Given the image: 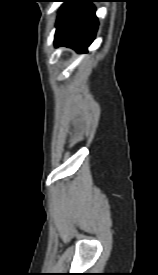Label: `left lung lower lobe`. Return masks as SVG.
<instances>
[{"instance_id":"0a47b994","label":"left lung lower lobe","mask_w":158,"mask_h":275,"mask_svg":"<svg viewBox=\"0 0 158 275\" xmlns=\"http://www.w3.org/2000/svg\"><path fill=\"white\" fill-rule=\"evenodd\" d=\"M96 0H63L56 22L55 47L66 46L79 53L88 52L97 29L98 18L91 2Z\"/></svg>"}]
</instances>
